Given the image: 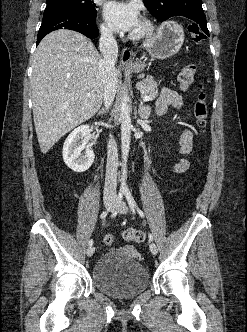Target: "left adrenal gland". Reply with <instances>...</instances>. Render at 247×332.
I'll use <instances>...</instances> for the list:
<instances>
[{
    "instance_id": "obj_1",
    "label": "left adrenal gland",
    "mask_w": 247,
    "mask_h": 332,
    "mask_svg": "<svg viewBox=\"0 0 247 332\" xmlns=\"http://www.w3.org/2000/svg\"><path fill=\"white\" fill-rule=\"evenodd\" d=\"M150 107L148 105H144L142 101H140L139 108H138V114L140 118L147 119L149 116Z\"/></svg>"
}]
</instances>
